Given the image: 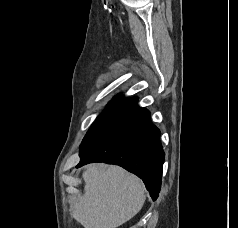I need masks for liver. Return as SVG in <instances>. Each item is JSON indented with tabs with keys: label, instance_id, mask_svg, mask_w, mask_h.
Here are the masks:
<instances>
[{
	"label": "liver",
	"instance_id": "obj_1",
	"mask_svg": "<svg viewBox=\"0 0 238 228\" xmlns=\"http://www.w3.org/2000/svg\"><path fill=\"white\" fill-rule=\"evenodd\" d=\"M82 177L84 193L71 201L70 209L84 228H117L144 205L143 182L121 167L91 164Z\"/></svg>",
	"mask_w": 238,
	"mask_h": 228
}]
</instances>
